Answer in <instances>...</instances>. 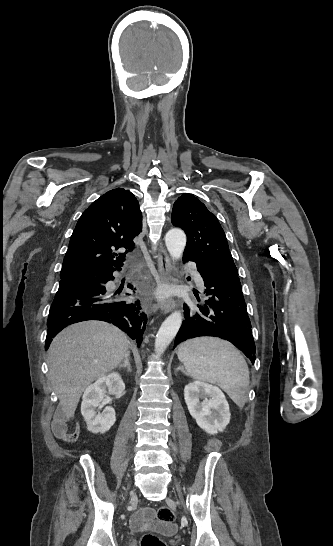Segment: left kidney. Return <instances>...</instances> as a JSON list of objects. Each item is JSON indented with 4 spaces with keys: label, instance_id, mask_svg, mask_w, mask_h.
I'll return each instance as SVG.
<instances>
[{
    "label": "left kidney",
    "instance_id": "obj_1",
    "mask_svg": "<svg viewBox=\"0 0 333 546\" xmlns=\"http://www.w3.org/2000/svg\"><path fill=\"white\" fill-rule=\"evenodd\" d=\"M184 399L191 416L205 432L216 434L228 425L229 404L217 386L195 381L185 386Z\"/></svg>",
    "mask_w": 333,
    "mask_h": 546
}]
</instances>
